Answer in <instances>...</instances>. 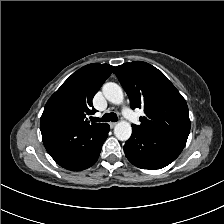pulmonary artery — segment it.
<instances>
[{
    "instance_id": "1",
    "label": "pulmonary artery",
    "mask_w": 224,
    "mask_h": 224,
    "mask_svg": "<svg viewBox=\"0 0 224 224\" xmlns=\"http://www.w3.org/2000/svg\"><path fill=\"white\" fill-rule=\"evenodd\" d=\"M122 113L130 123L137 122V118H136L135 114L132 112V110L129 107H127V106L123 107Z\"/></svg>"
}]
</instances>
